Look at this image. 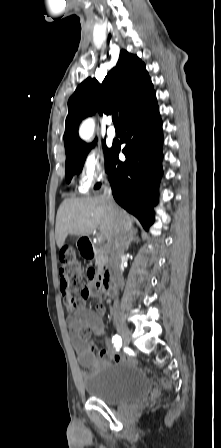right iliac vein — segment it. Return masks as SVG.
Listing matches in <instances>:
<instances>
[{"mask_svg":"<svg viewBox=\"0 0 221 448\" xmlns=\"http://www.w3.org/2000/svg\"><path fill=\"white\" fill-rule=\"evenodd\" d=\"M116 326L119 331V334L123 340L124 345H129L131 340V333L129 328L120 320L116 321Z\"/></svg>","mask_w":221,"mask_h":448,"instance_id":"right-iliac-vein-1","label":"right iliac vein"}]
</instances>
